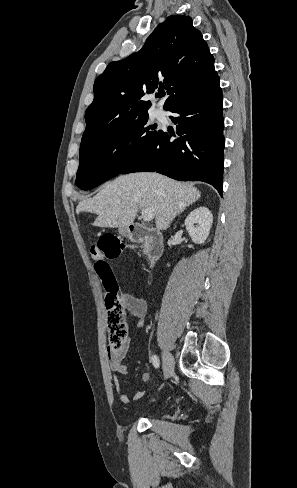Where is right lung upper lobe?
<instances>
[{
  "instance_id": "cb5924a9",
  "label": "right lung upper lobe",
  "mask_w": 297,
  "mask_h": 488,
  "mask_svg": "<svg viewBox=\"0 0 297 488\" xmlns=\"http://www.w3.org/2000/svg\"><path fill=\"white\" fill-rule=\"evenodd\" d=\"M217 77L214 58L192 19L172 15L152 32L143 48L111 62L93 86L83 138L104 135L148 116L143 96L165 88L164 109Z\"/></svg>"
}]
</instances>
